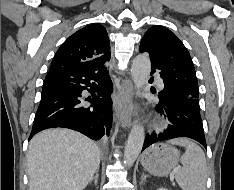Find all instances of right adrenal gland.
Returning <instances> with one entry per match:
<instances>
[{
  "label": "right adrenal gland",
  "instance_id": "right-adrenal-gland-1",
  "mask_svg": "<svg viewBox=\"0 0 234 190\" xmlns=\"http://www.w3.org/2000/svg\"><path fill=\"white\" fill-rule=\"evenodd\" d=\"M98 177H99V174H98V170H97L95 172V176L91 179V181L89 183L91 184L92 181L94 180V184L97 185V183H98Z\"/></svg>",
  "mask_w": 234,
  "mask_h": 190
}]
</instances>
